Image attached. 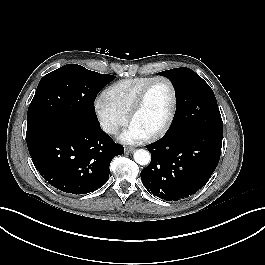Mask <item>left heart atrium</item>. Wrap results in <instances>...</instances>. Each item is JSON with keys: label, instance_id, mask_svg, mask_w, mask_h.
Returning <instances> with one entry per match:
<instances>
[{"label": "left heart atrium", "instance_id": "1", "mask_svg": "<svg viewBox=\"0 0 265 265\" xmlns=\"http://www.w3.org/2000/svg\"><path fill=\"white\" fill-rule=\"evenodd\" d=\"M146 134L136 126L130 124L129 127L120 135V140L124 143H136L146 138Z\"/></svg>", "mask_w": 265, "mask_h": 265}]
</instances>
